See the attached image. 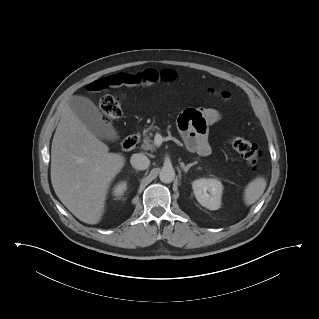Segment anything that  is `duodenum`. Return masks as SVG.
<instances>
[{"label":"duodenum","mask_w":319,"mask_h":319,"mask_svg":"<svg viewBox=\"0 0 319 319\" xmlns=\"http://www.w3.org/2000/svg\"><path fill=\"white\" fill-rule=\"evenodd\" d=\"M137 142H138V137L136 135H130L122 141L121 148L124 151H130L133 148H135V146L137 145Z\"/></svg>","instance_id":"duodenum-1"}]
</instances>
